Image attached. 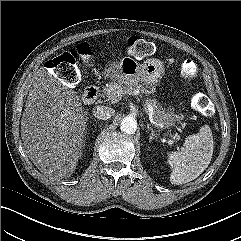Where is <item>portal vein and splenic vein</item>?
Returning a JSON list of instances; mask_svg holds the SVG:
<instances>
[{"mask_svg": "<svg viewBox=\"0 0 241 241\" xmlns=\"http://www.w3.org/2000/svg\"><path fill=\"white\" fill-rule=\"evenodd\" d=\"M148 110H149V112L151 111V107L149 105H148ZM149 114L153 115V112L151 111Z\"/></svg>", "mask_w": 241, "mask_h": 241, "instance_id": "18ae733b", "label": "portal vein and splenic vein"}]
</instances>
